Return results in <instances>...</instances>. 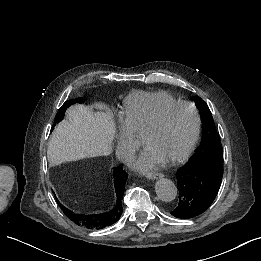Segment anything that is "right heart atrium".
<instances>
[{
    "label": "right heart atrium",
    "instance_id": "obj_1",
    "mask_svg": "<svg viewBox=\"0 0 261 261\" xmlns=\"http://www.w3.org/2000/svg\"><path fill=\"white\" fill-rule=\"evenodd\" d=\"M118 113H119L118 140H117L118 148L125 146L126 149H129V147L131 146V144L129 143V138H130L132 126L129 119L125 118L120 111H118Z\"/></svg>",
    "mask_w": 261,
    "mask_h": 261
}]
</instances>
